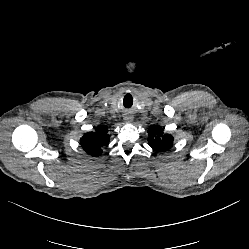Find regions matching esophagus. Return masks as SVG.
Returning <instances> with one entry per match:
<instances>
[{"label":"esophagus","instance_id":"1","mask_svg":"<svg viewBox=\"0 0 249 249\" xmlns=\"http://www.w3.org/2000/svg\"><path fill=\"white\" fill-rule=\"evenodd\" d=\"M124 121L127 124H131L133 122V116L132 115H125L124 116Z\"/></svg>","mask_w":249,"mask_h":249}]
</instances>
